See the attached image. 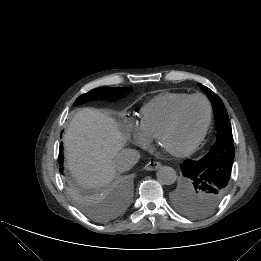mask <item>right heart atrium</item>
<instances>
[{
    "mask_svg": "<svg viewBox=\"0 0 261 261\" xmlns=\"http://www.w3.org/2000/svg\"><path fill=\"white\" fill-rule=\"evenodd\" d=\"M129 129L132 132L133 141L136 145L147 148L151 142L152 138L146 136L139 128V126H136L134 124H129Z\"/></svg>",
    "mask_w": 261,
    "mask_h": 261,
    "instance_id": "d8ad5b80",
    "label": "right heart atrium"
}]
</instances>
